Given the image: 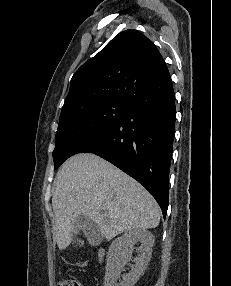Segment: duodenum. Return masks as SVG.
I'll return each mask as SVG.
<instances>
[{"mask_svg":"<svg viewBox=\"0 0 231 286\" xmlns=\"http://www.w3.org/2000/svg\"><path fill=\"white\" fill-rule=\"evenodd\" d=\"M104 255H105L104 251L100 250L98 254L99 259L102 260L104 258Z\"/></svg>","mask_w":231,"mask_h":286,"instance_id":"duodenum-1","label":"duodenum"}]
</instances>
